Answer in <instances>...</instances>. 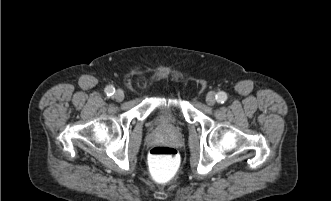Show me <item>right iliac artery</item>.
<instances>
[{"mask_svg":"<svg viewBox=\"0 0 331 201\" xmlns=\"http://www.w3.org/2000/svg\"><path fill=\"white\" fill-rule=\"evenodd\" d=\"M115 92V88L113 86H107L105 88V93L107 96H112Z\"/></svg>","mask_w":331,"mask_h":201,"instance_id":"82829eb1","label":"right iliac artery"}]
</instances>
